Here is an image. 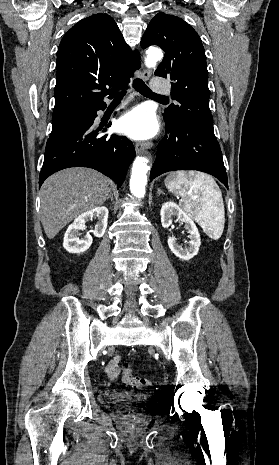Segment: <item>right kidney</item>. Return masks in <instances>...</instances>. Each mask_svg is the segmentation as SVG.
Wrapping results in <instances>:
<instances>
[{
  "mask_svg": "<svg viewBox=\"0 0 279 465\" xmlns=\"http://www.w3.org/2000/svg\"><path fill=\"white\" fill-rule=\"evenodd\" d=\"M109 211L105 206L96 207L92 210L82 213L79 215L74 222L68 227L64 235L63 247L70 253H82L88 250L92 244L93 238L90 235V232L94 234L95 237H103L108 221ZM97 217L98 222L94 230L88 232L82 238H79L81 235L80 230L85 229V223L92 218Z\"/></svg>",
  "mask_w": 279,
  "mask_h": 465,
  "instance_id": "ca27d5eb",
  "label": "right kidney"
}]
</instances>
